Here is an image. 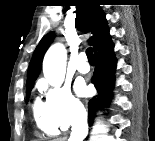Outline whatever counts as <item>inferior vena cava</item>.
Here are the masks:
<instances>
[{
    "label": "inferior vena cava",
    "instance_id": "602c4592",
    "mask_svg": "<svg viewBox=\"0 0 155 141\" xmlns=\"http://www.w3.org/2000/svg\"><path fill=\"white\" fill-rule=\"evenodd\" d=\"M87 115L86 112H82L79 115L78 120L72 125V133L69 141H82L87 135Z\"/></svg>",
    "mask_w": 155,
    "mask_h": 141
}]
</instances>
